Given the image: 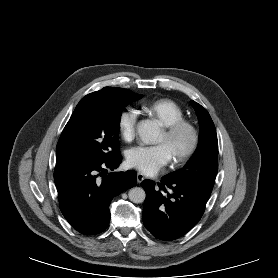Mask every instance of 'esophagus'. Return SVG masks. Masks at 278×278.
Here are the masks:
<instances>
[{
	"mask_svg": "<svg viewBox=\"0 0 278 278\" xmlns=\"http://www.w3.org/2000/svg\"><path fill=\"white\" fill-rule=\"evenodd\" d=\"M144 180V175L142 173L137 174V183L140 184Z\"/></svg>",
	"mask_w": 278,
	"mask_h": 278,
	"instance_id": "obj_1",
	"label": "esophagus"
}]
</instances>
